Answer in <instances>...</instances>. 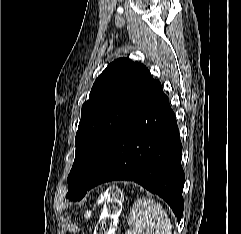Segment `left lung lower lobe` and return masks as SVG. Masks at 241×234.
<instances>
[{
	"label": "left lung lower lobe",
	"mask_w": 241,
	"mask_h": 234,
	"mask_svg": "<svg viewBox=\"0 0 241 234\" xmlns=\"http://www.w3.org/2000/svg\"><path fill=\"white\" fill-rule=\"evenodd\" d=\"M182 144L174 112L153 80L124 120L87 191L108 181L130 180L162 197L178 222L183 214Z\"/></svg>",
	"instance_id": "left-lung-lower-lobe-1"
}]
</instances>
